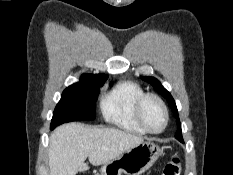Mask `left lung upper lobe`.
<instances>
[{"mask_svg": "<svg viewBox=\"0 0 233 175\" xmlns=\"http://www.w3.org/2000/svg\"><path fill=\"white\" fill-rule=\"evenodd\" d=\"M142 80L150 83L153 87H155L156 91L158 93H160L164 98L167 99V102L169 104V106L171 107L175 118L177 119V126H178V131L175 134V137L183 142V138H182V133H181V123L179 121V116H178V111H177V107L175 104V101L173 99V97L171 96V94L161 85V83L154 77H146V76H142L141 77Z\"/></svg>", "mask_w": 233, "mask_h": 175, "instance_id": "left-lung-upper-lobe-1", "label": "left lung upper lobe"}]
</instances>
